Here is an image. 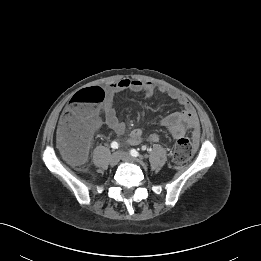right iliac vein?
Masks as SVG:
<instances>
[{"mask_svg":"<svg viewBox=\"0 0 261 261\" xmlns=\"http://www.w3.org/2000/svg\"><path fill=\"white\" fill-rule=\"evenodd\" d=\"M119 162V155L117 152H114L110 157H109V164L111 166L117 165Z\"/></svg>","mask_w":261,"mask_h":261,"instance_id":"1","label":"right iliac vein"}]
</instances>
